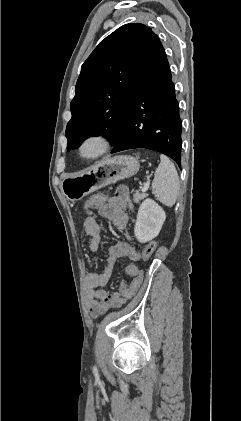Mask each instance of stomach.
I'll return each instance as SVG.
<instances>
[{"mask_svg":"<svg viewBox=\"0 0 241 421\" xmlns=\"http://www.w3.org/2000/svg\"><path fill=\"white\" fill-rule=\"evenodd\" d=\"M139 168L138 159L132 156L107 158L81 174L64 177L61 190L69 201L75 202L103 186L135 175Z\"/></svg>","mask_w":241,"mask_h":421,"instance_id":"1","label":"stomach"}]
</instances>
